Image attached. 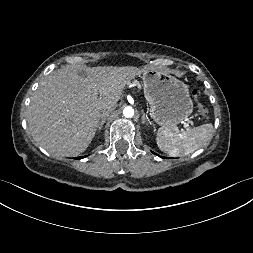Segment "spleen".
<instances>
[{"mask_svg":"<svg viewBox=\"0 0 253 253\" xmlns=\"http://www.w3.org/2000/svg\"><path fill=\"white\" fill-rule=\"evenodd\" d=\"M213 125L207 123L178 132L177 127H161L156 142L159 149L171 157L188 155L203 147L211 140Z\"/></svg>","mask_w":253,"mask_h":253,"instance_id":"obj_1","label":"spleen"}]
</instances>
